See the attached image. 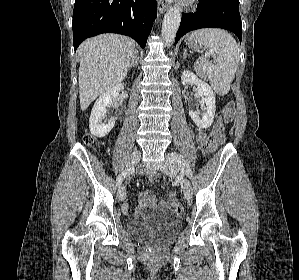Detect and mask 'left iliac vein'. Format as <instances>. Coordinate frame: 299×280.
I'll use <instances>...</instances> for the list:
<instances>
[{
	"mask_svg": "<svg viewBox=\"0 0 299 280\" xmlns=\"http://www.w3.org/2000/svg\"><path fill=\"white\" fill-rule=\"evenodd\" d=\"M161 171L169 176H175L177 173V167L173 160L167 156L165 162L161 167ZM182 186L184 190V195L187 200H190L192 197V185L187 178H182Z\"/></svg>",
	"mask_w": 299,
	"mask_h": 280,
	"instance_id": "1",
	"label": "left iliac vein"
}]
</instances>
